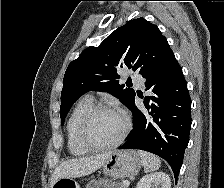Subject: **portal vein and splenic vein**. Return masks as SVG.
Masks as SVG:
<instances>
[{"label": "portal vein and splenic vein", "mask_w": 224, "mask_h": 188, "mask_svg": "<svg viewBox=\"0 0 224 188\" xmlns=\"http://www.w3.org/2000/svg\"><path fill=\"white\" fill-rule=\"evenodd\" d=\"M123 185L126 186V187H128L130 185V182L127 181V180H125V181H123Z\"/></svg>", "instance_id": "1"}]
</instances>
